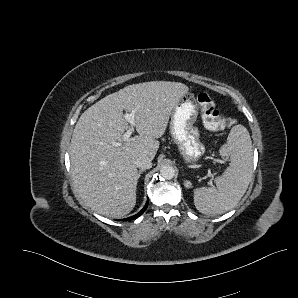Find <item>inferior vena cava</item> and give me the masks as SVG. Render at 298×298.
<instances>
[{
	"label": "inferior vena cava",
	"mask_w": 298,
	"mask_h": 298,
	"mask_svg": "<svg viewBox=\"0 0 298 298\" xmlns=\"http://www.w3.org/2000/svg\"><path fill=\"white\" fill-rule=\"evenodd\" d=\"M135 165L140 169L146 170L152 168V161L151 159L146 157H139L136 159Z\"/></svg>",
	"instance_id": "obj_1"
}]
</instances>
